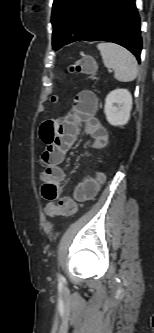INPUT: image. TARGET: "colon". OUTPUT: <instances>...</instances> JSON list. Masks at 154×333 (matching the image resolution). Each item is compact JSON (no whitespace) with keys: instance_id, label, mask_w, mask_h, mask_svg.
I'll use <instances>...</instances> for the list:
<instances>
[{"instance_id":"colon-1","label":"colon","mask_w":154,"mask_h":333,"mask_svg":"<svg viewBox=\"0 0 154 333\" xmlns=\"http://www.w3.org/2000/svg\"><path fill=\"white\" fill-rule=\"evenodd\" d=\"M72 73H84L88 75H94L96 72V64L93 58L84 57L77 60L70 66ZM52 101H56V97H52ZM77 205L75 201L70 197H63L57 204L49 203L45 207V211L48 216H64L69 217L76 213Z\"/></svg>"}]
</instances>
